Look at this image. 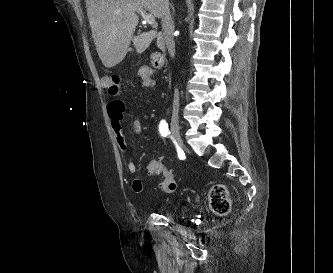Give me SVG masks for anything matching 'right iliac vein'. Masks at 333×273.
<instances>
[{
    "label": "right iliac vein",
    "instance_id": "obj_1",
    "mask_svg": "<svg viewBox=\"0 0 333 273\" xmlns=\"http://www.w3.org/2000/svg\"><path fill=\"white\" fill-rule=\"evenodd\" d=\"M171 131L180 148H184L183 140L180 134V124L177 114H173L171 118Z\"/></svg>",
    "mask_w": 333,
    "mask_h": 273
}]
</instances>
